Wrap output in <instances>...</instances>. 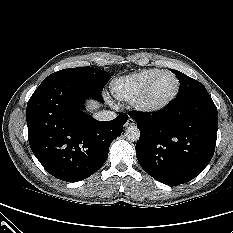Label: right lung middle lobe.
Here are the masks:
<instances>
[{
	"instance_id": "1",
	"label": "right lung middle lobe",
	"mask_w": 233,
	"mask_h": 233,
	"mask_svg": "<svg viewBox=\"0 0 233 233\" xmlns=\"http://www.w3.org/2000/svg\"><path fill=\"white\" fill-rule=\"evenodd\" d=\"M111 74L92 67H77L63 69L52 73L42 81L36 91L61 81H74L87 85L98 92H102L106 83L111 79Z\"/></svg>"
}]
</instances>
